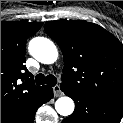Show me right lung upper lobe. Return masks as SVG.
Returning a JSON list of instances; mask_svg holds the SVG:
<instances>
[{
    "label": "right lung upper lobe",
    "instance_id": "obj_1",
    "mask_svg": "<svg viewBox=\"0 0 123 123\" xmlns=\"http://www.w3.org/2000/svg\"><path fill=\"white\" fill-rule=\"evenodd\" d=\"M42 22H1V120L31 104L43 90L26 69L25 46Z\"/></svg>",
    "mask_w": 123,
    "mask_h": 123
}]
</instances>
